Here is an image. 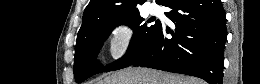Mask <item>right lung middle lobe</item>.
Returning <instances> with one entry per match:
<instances>
[{"mask_svg":"<svg viewBox=\"0 0 260 84\" xmlns=\"http://www.w3.org/2000/svg\"><path fill=\"white\" fill-rule=\"evenodd\" d=\"M139 12H134L119 20H107L94 23L82 37L76 41L74 57V76L76 82H82L94 74L103 71L118 70L130 66L136 59L143 55L152 45L161 25L156 21L148 25ZM129 25L134 34L126 54L109 67L102 68L96 61L97 54L114 26Z\"/></svg>","mask_w":260,"mask_h":84,"instance_id":"1","label":"right lung middle lobe"}]
</instances>
